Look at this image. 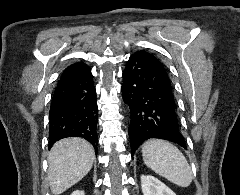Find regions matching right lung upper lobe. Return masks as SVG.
I'll use <instances>...</instances> for the list:
<instances>
[{
	"label": "right lung upper lobe",
	"instance_id": "right-lung-upper-lobe-1",
	"mask_svg": "<svg viewBox=\"0 0 240 195\" xmlns=\"http://www.w3.org/2000/svg\"><path fill=\"white\" fill-rule=\"evenodd\" d=\"M88 70H89V67H87L86 64L82 62L75 63L73 65H70L64 70L63 74L61 75V78L78 76Z\"/></svg>",
	"mask_w": 240,
	"mask_h": 195
}]
</instances>
